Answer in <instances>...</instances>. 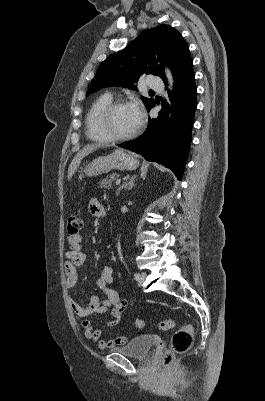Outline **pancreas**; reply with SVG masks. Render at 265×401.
<instances>
[{
  "mask_svg": "<svg viewBox=\"0 0 265 401\" xmlns=\"http://www.w3.org/2000/svg\"><path fill=\"white\" fill-rule=\"evenodd\" d=\"M118 176L119 174H117V172H112V174H108L106 178L100 180L99 184L100 186H103V188H112V182H114Z\"/></svg>",
  "mask_w": 265,
  "mask_h": 401,
  "instance_id": "pancreas-1",
  "label": "pancreas"
}]
</instances>
